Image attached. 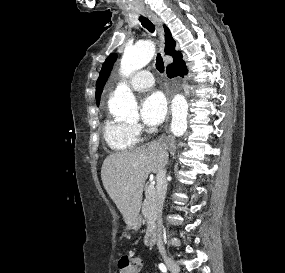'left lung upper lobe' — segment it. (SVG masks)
Instances as JSON below:
<instances>
[{
  "mask_svg": "<svg viewBox=\"0 0 285 273\" xmlns=\"http://www.w3.org/2000/svg\"><path fill=\"white\" fill-rule=\"evenodd\" d=\"M116 61V54L110 55L104 62L102 69L100 71V76L96 82V101L99 104L100 96L103 90V87L109 77V74L112 70V66Z\"/></svg>",
  "mask_w": 285,
  "mask_h": 273,
  "instance_id": "obj_1",
  "label": "left lung upper lobe"
}]
</instances>
